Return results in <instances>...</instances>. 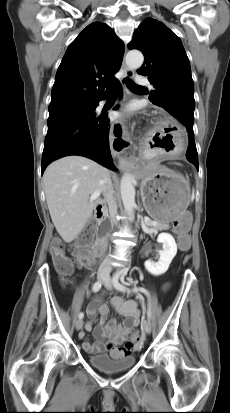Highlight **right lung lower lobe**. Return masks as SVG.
<instances>
[{
  "label": "right lung lower lobe",
  "instance_id": "obj_1",
  "mask_svg": "<svg viewBox=\"0 0 230 413\" xmlns=\"http://www.w3.org/2000/svg\"><path fill=\"white\" fill-rule=\"evenodd\" d=\"M115 85L121 93L120 83L117 81ZM106 96L92 103L91 111L48 118L41 163L42 174L52 161L69 155L84 156L117 171L109 148V120L107 115H95L99 101Z\"/></svg>",
  "mask_w": 230,
  "mask_h": 413
}]
</instances>
